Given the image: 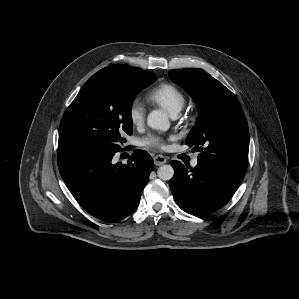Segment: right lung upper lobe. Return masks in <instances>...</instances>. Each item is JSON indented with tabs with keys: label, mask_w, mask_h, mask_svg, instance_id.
I'll use <instances>...</instances> for the list:
<instances>
[{
	"label": "right lung upper lobe",
	"mask_w": 299,
	"mask_h": 299,
	"mask_svg": "<svg viewBox=\"0 0 299 299\" xmlns=\"http://www.w3.org/2000/svg\"><path fill=\"white\" fill-rule=\"evenodd\" d=\"M129 67H131V68H133V69H136V70H138V71H140V72H147V71L141 70V69H139V68H137V67H132V66H129Z\"/></svg>",
	"instance_id": "1"
}]
</instances>
